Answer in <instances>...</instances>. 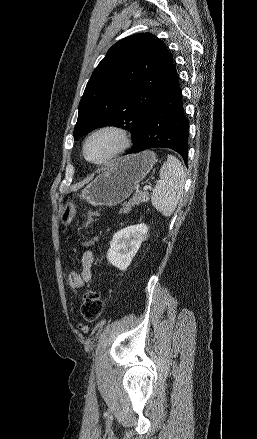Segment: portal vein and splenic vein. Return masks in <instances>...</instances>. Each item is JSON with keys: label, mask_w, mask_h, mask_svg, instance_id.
Segmentation results:
<instances>
[{"label": "portal vein and splenic vein", "mask_w": 257, "mask_h": 439, "mask_svg": "<svg viewBox=\"0 0 257 439\" xmlns=\"http://www.w3.org/2000/svg\"><path fill=\"white\" fill-rule=\"evenodd\" d=\"M148 189H151L150 185L144 187V191H147Z\"/></svg>", "instance_id": "18ae733b"}]
</instances>
